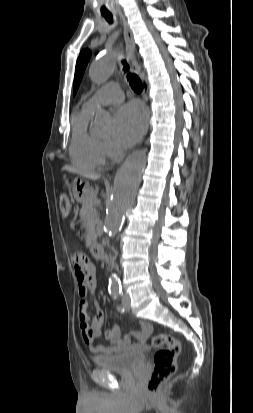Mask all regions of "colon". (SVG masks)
Instances as JSON below:
<instances>
[{
	"label": "colon",
	"mask_w": 253,
	"mask_h": 413,
	"mask_svg": "<svg viewBox=\"0 0 253 413\" xmlns=\"http://www.w3.org/2000/svg\"><path fill=\"white\" fill-rule=\"evenodd\" d=\"M61 215L66 217L71 210L70 199L66 194L59 197ZM152 346L157 349L154 364L147 382V391L156 395L162 384L176 371V359L181 351L180 341L166 333H158L152 338Z\"/></svg>",
	"instance_id": "obj_1"
}]
</instances>
